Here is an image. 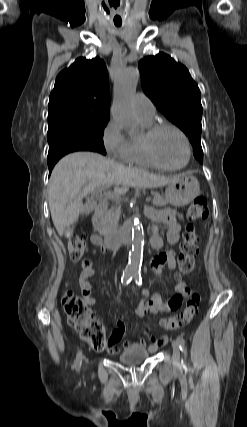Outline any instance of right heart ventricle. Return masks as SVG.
Wrapping results in <instances>:
<instances>
[{
    "label": "right heart ventricle",
    "mask_w": 247,
    "mask_h": 427,
    "mask_svg": "<svg viewBox=\"0 0 247 427\" xmlns=\"http://www.w3.org/2000/svg\"><path fill=\"white\" fill-rule=\"evenodd\" d=\"M145 128L151 126L154 122L151 120L141 119ZM126 161L131 164H136L145 167H154V165L146 157L143 146L142 137H134L128 140V151Z\"/></svg>",
    "instance_id": "obj_1"
}]
</instances>
